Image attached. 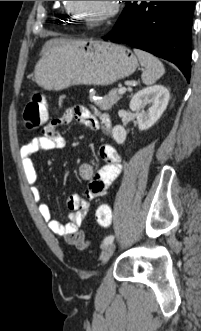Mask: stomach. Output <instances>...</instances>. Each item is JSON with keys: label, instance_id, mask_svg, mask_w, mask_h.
<instances>
[{"label": "stomach", "instance_id": "obj_1", "mask_svg": "<svg viewBox=\"0 0 201 331\" xmlns=\"http://www.w3.org/2000/svg\"><path fill=\"white\" fill-rule=\"evenodd\" d=\"M138 60L120 44L104 40H67L46 50L34 70L46 90L72 85H110L134 73Z\"/></svg>", "mask_w": 201, "mask_h": 331}]
</instances>
